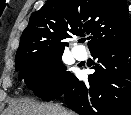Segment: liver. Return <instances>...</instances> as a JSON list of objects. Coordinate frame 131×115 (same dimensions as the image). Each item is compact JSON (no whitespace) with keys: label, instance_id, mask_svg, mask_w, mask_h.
Segmentation results:
<instances>
[{"label":"liver","instance_id":"6515ba94","mask_svg":"<svg viewBox=\"0 0 131 115\" xmlns=\"http://www.w3.org/2000/svg\"><path fill=\"white\" fill-rule=\"evenodd\" d=\"M4 115H74L54 104H39L29 99L12 101Z\"/></svg>","mask_w":131,"mask_h":115}]
</instances>
